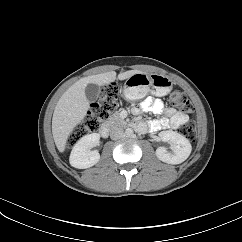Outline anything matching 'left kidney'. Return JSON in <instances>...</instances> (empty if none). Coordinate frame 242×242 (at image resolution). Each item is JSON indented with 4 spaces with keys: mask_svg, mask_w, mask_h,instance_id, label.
<instances>
[{
    "mask_svg": "<svg viewBox=\"0 0 242 242\" xmlns=\"http://www.w3.org/2000/svg\"><path fill=\"white\" fill-rule=\"evenodd\" d=\"M159 139L171 144V152L167 151L165 147L157 148L156 156L161 161L168 164H180L189 157L192 146L189 140L183 135L175 131L167 130L160 132Z\"/></svg>",
    "mask_w": 242,
    "mask_h": 242,
    "instance_id": "obj_1",
    "label": "left kidney"
}]
</instances>
